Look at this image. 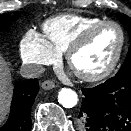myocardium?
<instances>
[{"mask_svg": "<svg viewBox=\"0 0 131 131\" xmlns=\"http://www.w3.org/2000/svg\"><path fill=\"white\" fill-rule=\"evenodd\" d=\"M115 26L120 33V43L118 46V49L110 61V63L103 68L102 70L94 73H83L76 71L72 66V61L74 55L86 45V43L89 41V39L93 36V34L105 26ZM126 44V34L123 29V27L116 21L112 20H103L101 22H98L96 24H93L86 28L83 32H81L78 37L69 45L68 49L66 50V60L68 65L74 70L75 74L82 80L87 82H97L105 79L108 77L117 67V65L120 62V59L122 57L124 48Z\"/></svg>", "mask_w": 131, "mask_h": 131, "instance_id": "obj_1", "label": "myocardium"}]
</instances>
